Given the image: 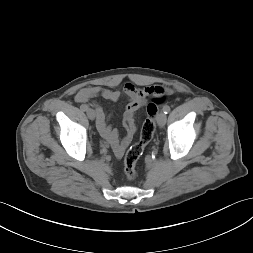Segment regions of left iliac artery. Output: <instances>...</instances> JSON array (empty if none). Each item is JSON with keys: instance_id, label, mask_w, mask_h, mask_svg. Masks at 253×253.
Instances as JSON below:
<instances>
[{"instance_id": "44dca946", "label": "left iliac artery", "mask_w": 253, "mask_h": 253, "mask_svg": "<svg viewBox=\"0 0 253 253\" xmlns=\"http://www.w3.org/2000/svg\"><path fill=\"white\" fill-rule=\"evenodd\" d=\"M170 110H171V109H170V107H169L168 105H166V106L163 107V112H164L165 114L169 113Z\"/></svg>"}]
</instances>
